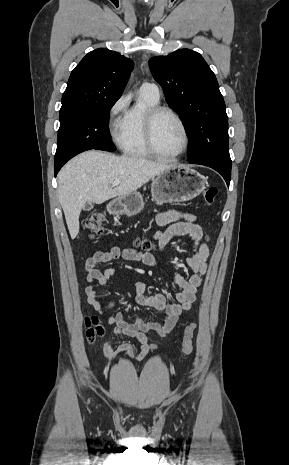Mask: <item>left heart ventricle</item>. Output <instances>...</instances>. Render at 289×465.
Instances as JSON below:
<instances>
[{
  "label": "left heart ventricle",
  "instance_id": "left-heart-ventricle-1",
  "mask_svg": "<svg viewBox=\"0 0 289 465\" xmlns=\"http://www.w3.org/2000/svg\"><path fill=\"white\" fill-rule=\"evenodd\" d=\"M155 142L158 150L165 155L179 152L184 145L183 130L171 115L161 114L155 124Z\"/></svg>",
  "mask_w": 289,
  "mask_h": 465
}]
</instances>
